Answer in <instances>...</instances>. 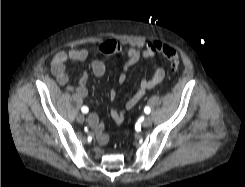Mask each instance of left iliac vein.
I'll return each mask as SVG.
<instances>
[{"label":"left iliac vein","instance_id":"obj_1","mask_svg":"<svg viewBox=\"0 0 245 187\" xmlns=\"http://www.w3.org/2000/svg\"><path fill=\"white\" fill-rule=\"evenodd\" d=\"M152 125V118L150 116H147L143 121L144 127H150Z\"/></svg>","mask_w":245,"mask_h":187}]
</instances>
